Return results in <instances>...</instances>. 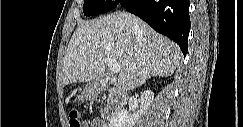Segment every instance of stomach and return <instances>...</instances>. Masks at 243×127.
<instances>
[{
  "instance_id": "1",
  "label": "stomach",
  "mask_w": 243,
  "mask_h": 127,
  "mask_svg": "<svg viewBox=\"0 0 243 127\" xmlns=\"http://www.w3.org/2000/svg\"><path fill=\"white\" fill-rule=\"evenodd\" d=\"M94 92H95V88L92 84H90L88 88L83 92V94L81 96H78V99H84L85 97L91 95Z\"/></svg>"
}]
</instances>
